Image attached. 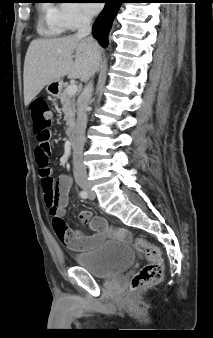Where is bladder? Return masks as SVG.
<instances>
[{
	"label": "bladder",
	"mask_w": 213,
	"mask_h": 338,
	"mask_svg": "<svg viewBox=\"0 0 213 338\" xmlns=\"http://www.w3.org/2000/svg\"><path fill=\"white\" fill-rule=\"evenodd\" d=\"M80 268L96 279H110L130 267L135 254L127 243H101L90 252L75 257Z\"/></svg>",
	"instance_id": "bladder-1"
}]
</instances>
